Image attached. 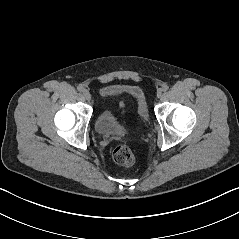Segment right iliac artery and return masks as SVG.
Wrapping results in <instances>:
<instances>
[{"label":"right iliac artery","instance_id":"right-iliac-artery-1","mask_svg":"<svg viewBox=\"0 0 239 239\" xmlns=\"http://www.w3.org/2000/svg\"><path fill=\"white\" fill-rule=\"evenodd\" d=\"M77 90L80 92L84 91V87L82 85L77 86Z\"/></svg>","mask_w":239,"mask_h":239}]
</instances>
